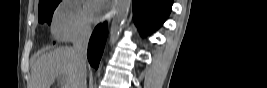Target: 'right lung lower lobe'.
Here are the masks:
<instances>
[{
    "instance_id": "98d812e1",
    "label": "right lung lower lobe",
    "mask_w": 267,
    "mask_h": 88,
    "mask_svg": "<svg viewBox=\"0 0 267 88\" xmlns=\"http://www.w3.org/2000/svg\"><path fill=\"white\" fill-rule=\"evenodd\" d=\"M106 23L103 25H98L90 38L88 45V60L92 67L98 68L99 62L104 50V44L106 42L107 30Z\"/></svg>"
}]
</instances>
